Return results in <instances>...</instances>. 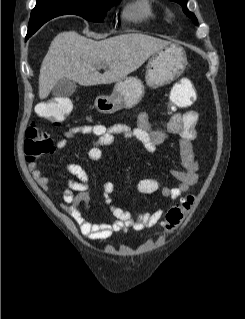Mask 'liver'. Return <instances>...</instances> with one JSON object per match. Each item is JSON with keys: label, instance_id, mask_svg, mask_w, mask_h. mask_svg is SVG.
Instances as JSON below:
<instances>
[{"label": "liver", "instance_id": "liver-1", "mask_svg": "<svg viewBox=\"0 0 245 319\" xmlns=\"http://www.w3.org/2000/svg\"><path fill=\"white\" fill-rule=\"evenodd\" d=\"M170 42L141 33L95 41L75 31L59 33L51 42L40 68L39 97L45 99L56 83L68 78L82 86L111 84L125 79ZM107 65L99 73L97 67Z\"/></svg>", "mask_w": 245, "mask_h": 319}]
</instances>
